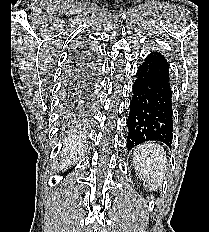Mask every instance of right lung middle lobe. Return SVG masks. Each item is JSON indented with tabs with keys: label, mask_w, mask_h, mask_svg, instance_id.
Here are the masks:
<instances>
[{
	"label": "right lung middle lobe",
	"mask_w": 209,
	"mask_h": 232,
	"mask_svg": "<svg viewBox=\"0 0 209 232\" xmlns=\"http://www.w3.org/2000/svg\"><path fill=\"white\" fill-rule=\"evenodd\" d=\"M75 75L76 73L70 75L69 84L67 85V87H65V90L62 95V115L64 118L63 124L64 126L70 127H75L81 124L83 119V113L80 110L81 107L79 94H77L79 89L75 91V88L73 87L76 78Z\"/></svg>",
	"instance_id": "right-lung-middle-lobe-1"
}]
</instances>
